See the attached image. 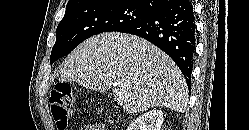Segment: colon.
Returning <instances> with one entry per match:
<instances>
[{
  "label": "colon",
  "instance_id": "colon-1",
  "mask_svg": "<svg viewBox=\"0 0 249 130\" xmlns=\"http://www.w3.org/2000/svg\"><path fill=\"white\" fill-rule=\"evenodd\" d=\"M49 104L58 130H67L74 105L72 86L68 83L56 84L50 92Z\"/></svg>",
  "mask_w": 249,
  "mask_h": 130
}]
</instances>
